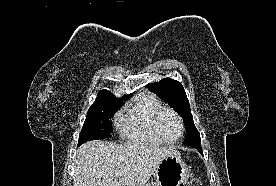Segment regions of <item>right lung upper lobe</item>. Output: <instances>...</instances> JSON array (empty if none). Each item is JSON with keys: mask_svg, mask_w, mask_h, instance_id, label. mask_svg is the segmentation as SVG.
<instances>
[{"mask_svg": "<svg viewBox=\"0 0 276 186\" xmlns=\"http://www.w3.org/2000/svg\"><path fill=\"white\" fill-rule=\"evenodd\" d=\"M101 93H109V91H107V90H100L98 94H101Z\"/></svg>", "mask_w": 276, "mask_h": 186, "instance_id": "cb5924a9", "label": "right lung upper lobe"}]
</instances>
